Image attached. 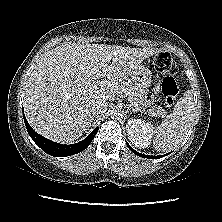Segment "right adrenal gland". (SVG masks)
<instances>
[{
  "label": "right adrenal gland",
  "mask_w": 222,
  "mask_h": 222,
  "mask_svg": "<svg viewBox=\"0 0 222 222\" xmlns=\"http://www.w3.org/2000/svg\"><path fill=\"white\" fill-rule=\"evenodd\" d=\"M93 119H94V118H93V117H91V120H90V121L92 122V121H93Z\"/></svg>",
  "instance_id": "right-adrenal-gland-1"
}]
</instances>
